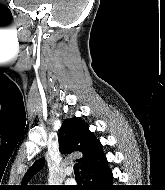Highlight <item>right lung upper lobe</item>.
Instances as JSON below:
<instances>
[{
	"instance_id": "1",
	"label": "right lung upper lobe",
	"mask_w": 165,
	"mask_h": 190,
	"mask_svg": "<svg viewBox=\"0 0 165 190\" xmlns=\"http://www.w3.org/2000/svg\"><path fill=\"white\" fill-rule=\"evenodd\" d=\"M58 140L61 152H81L83 154V157L77 160L80 163L81 173L93 167L104 156L102 144L78 117L65 120L59 131ZM43 165L44 158H41L28 169L20 185L22 189L33 190L35 188L32 185H27V182Z\"/></svg>"
}]
</instances>
